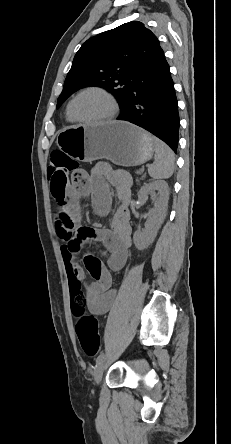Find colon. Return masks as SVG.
<instances>
[{
	"mask_svg": "<svg viewBox=\"0 0 231 444\" xmlns=\"http://www.w3.org/2000/svg\"><path fill=\"white\" fill-rule=\"evenodd\" d=\"M79 171V164L61 151H54L50 156L48 174L56 186L65 184L72 175ZM57 192V189L55 190ZM90 228H81V233L92 232ZM72 310L77 318L76 331L81 347L86 355L94 357L100 347L98 320L86 312V298L78 283L70 286Z\"/></svg>",
	"mask_w": 231,
	"mask_h": 444,
	"instance_id": "1",
	"label": "colon"
}]
</instances>
